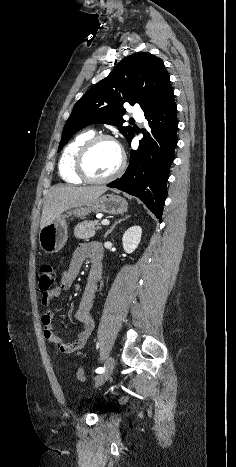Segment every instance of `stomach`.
<instances>
[{
    "instance_id": "stomach-1",
    "label": "stomach",
    "mask_w": 236,
    "mask_h": 467,
    "mask_svg": "<svg viewBox=\"0 0 236 467\" xmlns=\"http://www.w3.org/2000/svg\"><path fill=\"white\" fill-rule=\"evenodd\" d=\"M127 211V202L120 196L106 194L97 198L91 204L86 206L76 207L66 214L58 216L41 229L39 234V244L41 249L48 254L60 251L67 239V224L68 216L84 217L91 212H103L107 214H123Z\"/></svg>"
}]
</instances>
